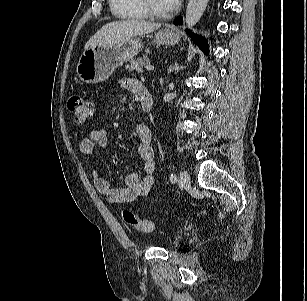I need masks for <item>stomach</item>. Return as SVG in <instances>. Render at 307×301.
Listing matches in <instances>:
<instances>
[{
    "label": "stomach",
    "mask_w": 307,
    "mask_h": 301,
    "mask_svg": "<svg viewBox=\"0 0 307 301\" xmlns=\"http://www.w3.org/2000/svg\"><path fill=\"white\" fill-rule=\"evenodd\" d=\"M180 35L174 29H162L155 34L157 44L175 45ZM142 48L139 38H129L111 45H97L83 52L80 56L76 72L79 78L90 84L103 82L114 70L125 62L132 60Z\"/></svg>",
    "instance_id": "1"
}]
</instances>
